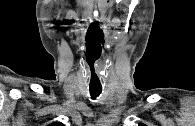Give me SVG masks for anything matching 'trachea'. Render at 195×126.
Returning <instances> with one entry per match:
<instances>
[{
    "label": "trachea",
    "mask_w": 195,
    "mask_h": 126,
    "mask_svg": "<svg viewBox=\"0 0 195 126\" xmlns=\"http://www.w3.org/2000/svg\"><path fill=\"white\" fill-rule=\"evenodd\" d=\"M102 88L90 86V95L93 99L97 98L101 94Z\"/></svg>",
    "instance_id": "1"
}]
</instances>
